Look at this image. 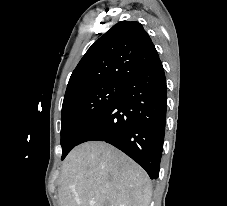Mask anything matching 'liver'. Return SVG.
<instances>
[{
  "mask_svg": "<svg viewBox=\"0 0 227 206\" xmlns=\"http://www.w3.org/2000/svg\"><path fill=\"white\" fill-rule=\"evenodd\" d=\"M60 206H149L147 173L115 147L89 141L75 147L62 166Z\"/></svg>",
  "mask_w": 227,
  "mask_h": 206,
  "instance_id": "obj_1",
  "label": "liver"
}]
</instances>
